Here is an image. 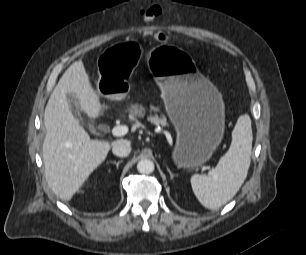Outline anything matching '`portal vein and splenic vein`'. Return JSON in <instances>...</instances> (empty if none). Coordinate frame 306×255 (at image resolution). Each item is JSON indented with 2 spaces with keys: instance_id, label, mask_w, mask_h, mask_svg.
Masks as SVG:
<instances>
[{
  "instance_id": "portal-vein-and-splenic-vein-1",
  "label": "portal vein and splenic vein",
  "mask_w": 306,
  "mask_h": 255,
  "mask_svg": "<svg viewBox=\"0 0 306 255\" xmlns=\"http://www.w3.org/2000/svg\"><path fill=\"white\" fill-rule=\"evenodd\" d=\"M128 128L125 125H119L112 128L111 133L113 136L120 137L127 134Z\"/></svg>"
}]
</instances>
